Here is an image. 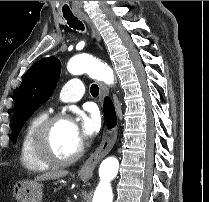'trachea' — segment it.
<instances>
[{
  "label": "trachea",
  "instance_id": "1",
  "mask_svg": "<svg viewBox=\"0 0 209 202\" xmlns=\"http://www.w3.org/2000/svg\"><path fill=\"white\" fill-rule=\"evenodd\" d=\"M64 18L71 28L75 30H84V24L74 15H64ZM90 92L93 97H97L99 94L98 85L92 84L90 87Z\"/></svg>",
  "mask_w": 209,
  "mask_h": 202
}]
</instances>
